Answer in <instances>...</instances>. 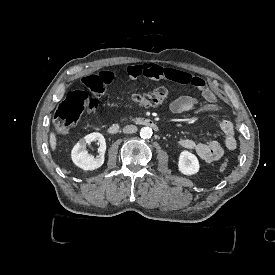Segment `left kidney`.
Instances as JSON below:
<instances>
[{
  "label": "left kidney",
  "instance_id": "obj_1",
  "mask_svg": "<svg viewBox=\"0 0 275 275\" xmlns=\"http://www.w3.org/2000/svg\"><path fill=\"white\" fill-rule=\"evenodd\" d=\"M177 168L178 172L185 176L197 174L200 169L198 157L187 150H182L179 154Z\"/></svg>",
  "mask_w": 275,
  "mask_h": 275
}]
</instances>
